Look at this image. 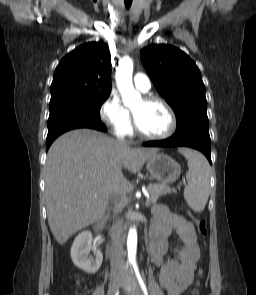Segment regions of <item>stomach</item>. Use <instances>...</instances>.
<instances>
[{"instance_id": "1", "label": "stomach", "mask_w": 256, "mask_h": 295, "mask_svg": "<svg viewBox=\"0 0 256 295\" xmlns=\"http://www.w3.org/2000/svg\"><path fill=\"white\" fill-rule=\"evenodd\" d=\"M150 175L161 184L175 182L181 173L180 165L165 153H156L146 161Z\"/></svg>"}]
</instances>
